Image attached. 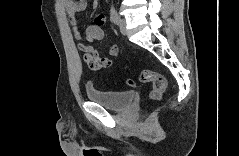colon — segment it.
I'll use <instances>...</instances> for the list:
<instances>
[{
	"instance_id": "obj_1",
	"label": "colon",
	"mask_w": 239,
	"mask_h": 156,
	"mask_svg": "<svg viewBox=\"0 0 239 156\" xmlns=\"http://www.w3.org/2000/svg\"><path fill=\"white\" fill-rule=\"evenodd\" d=\"M140 80L144 83H147V82L152 83V89L150 92V98L152 100H158L161 98L167 84L166 78L164 77V75L151 70H143L140 74ZM126 85L128 87H134L135 81L133 79H128L126 81Z\"/></svg>"
}]
</instances>
